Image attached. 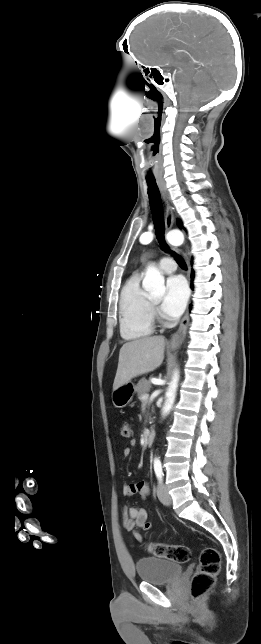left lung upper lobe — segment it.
Segmentation results:
<instances>
[{"mask_svg":"<svg viewBox=\"0 0 261 644\" xmlns=\"http://www.w3.org/2000/svg\"><path fill=\"white\" fill-rule=\"evenodd\" d=\"M177 224H178V226L182 225V223H181V221L179 219H177Z\"/></svg>","mask_w":261,"mask_h":644,"instance_id":"5c2ea615","label":"left lung upper lobe"}]
</instances>
